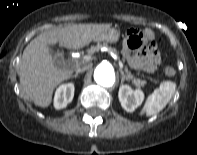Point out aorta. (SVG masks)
<instances>
[{
    "mask_svg": "<svg viewBox=\"0 0 197 155\" xmlns=\"http://www.w3.org/2000/svg\"><path fill=\"white\" fill-rule=\"evenodd\" d=\"M95 82L102 87H112L115 83V70L111 63L103 61L94 71Z\"/></svg>",
    "mask_w": 197,
    "mask_h": 155,
    "instance_id": "1",
    "label": "aorta"
}]
</instances>
